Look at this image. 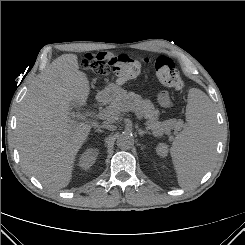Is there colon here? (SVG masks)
<instances>
[{
  "instance_id": "colon-1",
  "label": "colon",
  "mask_w": 245,
  "mask_h": 245,
  "mask_svg": "<svg viewBox=\"0 0 245 245\" xmlns=\"http://www.w3.org/2000/svg\"><path fill=\"white\" fill-rule=\"evenodd\" d=\"M147 61L145 58L126 53H119L110 58L99 53L85 55L82 64L86 69L92 70L98 75L107 76L112 73L120 82H125L138 75L142 64ZM153 67L162 84L177 90L184 87V81L170 58L165 56L155 58Z\"/></svg>"
}]
</instances>
